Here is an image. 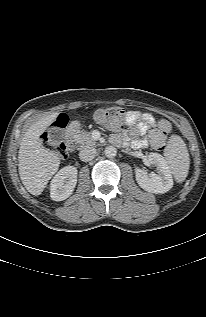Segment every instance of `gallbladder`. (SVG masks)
Returning a JSON list of instances; mask_svg holds the SVG:
<instances>
[{"label": "gallbladder", "mask_w": 206, "mask_h": 317, "mask_svg": "<svg viewBox=\"0 0 206 317\" xmlns=\"http://www.w3.org/2000/svg\"><path fill=\"white\" fill-rule=\"evenodd\" d=\"M49 144L57 146L63 139V131L59 128L53 127L48 131Z\"/></svg>", "instance_id": "1"}]
</instances>
